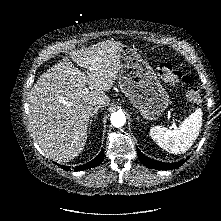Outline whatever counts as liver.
Returning a JSON list of instances; mask_svg holds the SVG:
<instances>
[{
  "label": "liver",
  "mask_w": 221,
  "mask_h": 221,
  "mask_svg": "<svg viewBox=\"0 0 221 221\" xmlns=\"http://www.w3.org/2000/svg\"><path fill=\"white\" fill-rule=\"evenodd\" d=\"M121 45L107 40L74 50L72 60L86 71L63 59L33 86L28 98L31 132L54 161L67 162L83 151L94 99L111 89L120 71Z\"/></svg>",
  "instance_id": "liver-1"
}]
</instances>
